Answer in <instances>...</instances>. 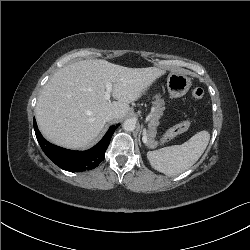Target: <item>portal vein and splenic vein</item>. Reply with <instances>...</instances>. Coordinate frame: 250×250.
<instances>
[{"label": "portal vein and splenic vein", "mask_w": 250, "mask_h": 250, "mask_svg": "<svg viewBox=\"0 0 250 250\" xmlns=\"http://www.w3.org/2000/svg\"><path fill=\"white\" fill-rule=\"evenodd\" d=\"M105 87H106V92H105L104 98L106 100H109L111 97V92H112V83L106 82Z\"/></svg>", "instance_id": "obj_1"}]
</instances>
